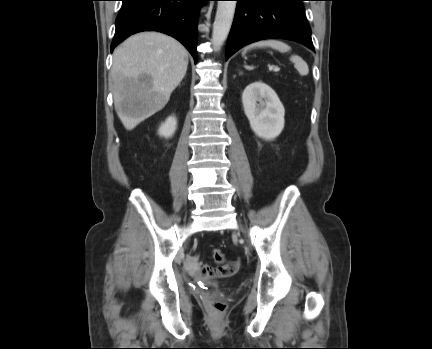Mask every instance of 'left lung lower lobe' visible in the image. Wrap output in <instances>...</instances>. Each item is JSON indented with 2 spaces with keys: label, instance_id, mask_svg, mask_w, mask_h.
Instances as JSON below:
<instances>
[{
  "label": "left lung lower lobe",
  "instance_id": "1",
  "mask_svg": "<svg viewBox=\"0 0 432 349\" xmlns=\"http://www.w3.org/2000/svg\"><path fill=\"white\" fill-rule=\"evenodd\" d=\"M226 60L243 46L269 38L296 41L314 50L304 0H236Z\"/></svg>",
  "mask_w": 432,
  "mask_h": 349
}]
</instances>
